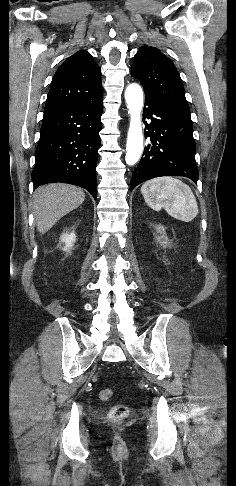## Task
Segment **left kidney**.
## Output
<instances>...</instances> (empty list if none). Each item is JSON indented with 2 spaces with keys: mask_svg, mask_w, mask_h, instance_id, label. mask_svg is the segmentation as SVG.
Here are the masks:
<instances>
[{
  "mask_svg": "<svg viewBox=\"0 0 236 486\" xmlns=\"http://www.w3.org/2000/svg\"><path fill=\"white\" fill-rule=\"evenodd\" d=\"M157 231H158L159 233H161V234L163 233V235H165V229H164V227H163V226H159V227L157 228ZM163 237H164V236H163ZM166 240H167V238H166ZM166 243H167V241H163V242H162V244H166Z\"/></svg>",
  "mask_w": 236,
  "mask_h": 486,
  "instance_id": "1",
  "label": "left kidney"
}]
</instances>
